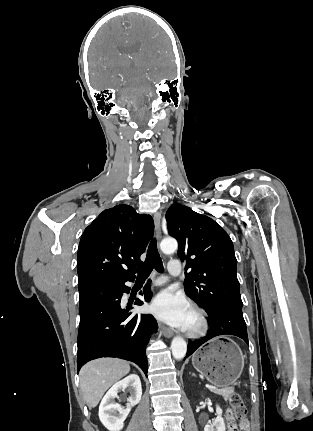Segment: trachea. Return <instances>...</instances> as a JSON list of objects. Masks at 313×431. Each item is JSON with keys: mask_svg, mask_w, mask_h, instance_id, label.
<instances>
[{"mask_svg": "<svg viewBox=\"0 0 313 431\" xmlns=\"http://www.w3.org/2000/svg\"><path fill=\"white\" fill-rule=\"evenodd\" d=\"M155 268L158 272L163 271V264L157 249L156 238H153L149 244L147 257L143 265L136 269L138 279H147L151 271Z\"/></svg>", "mask_w": 313, "mask_h": 431, "instance_id": "3493384b", "label": "trachea"}]
</instances>
